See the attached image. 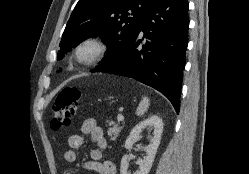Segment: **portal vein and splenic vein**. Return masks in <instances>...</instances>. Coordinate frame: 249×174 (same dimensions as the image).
Segmentation results:
<instances>
[{"label": "portal vein and splenic vein", "mask_w": 249, "mask_h": 174, "mask_svg": "<svg viewBox=\"0 0 249 174\" xmlns=\"http://www.w3.org/2000/svg\"><path fill=\"white\" fill-rule=\"evenodd\" d=\"M117 119L118 121H124V116L122 114H118Z\"/></svg>", "instance_id": "1"}]
</instances>
